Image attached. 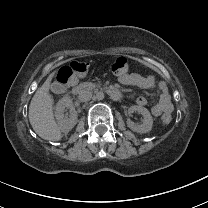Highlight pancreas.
Here are the masks:
<instances>
[{
  "mask_svg": "<svg viewBox=\"0 0 208 208\" xmlns=\"http://www.w3.org/2000/svg\"><path fill=\"white\" fill-rule=\"evenodd\" d=\"M88 85H89V83L84 82V83L79 84L78 88L79 89L87 88ZM103 89L104 88H102L99 83L92 84V90L95 91V92H97L98 90H103Z\"/></svg>",
  "mask_w": 208,
  "mask_h": 208,
  "instance_id": "cf45deb5",
  "label": "pancreas"
}]
</instances>
